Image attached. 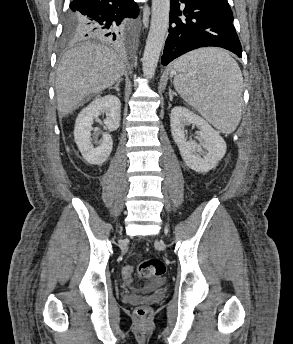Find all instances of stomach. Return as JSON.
Segmentation results:
<instances>
[{
  "instance_id": "stomach-1",
  "label": "stomach",
  "mask_w": 293,
  "mask_h": 344,
  "mask_svg": "<svg viewBox=\"0 0 293 344\" xmlns=\"http://www.w3.org/2000/svg\"><path fill=\"white\" fill-rule=\"evenodd\" d=\"M178 74H179V72H178V70H177L175 67H174V69H172L171 72H170V75H171V76L174 75V76L176 77Z\"/></svg>"
}]
</instances>
